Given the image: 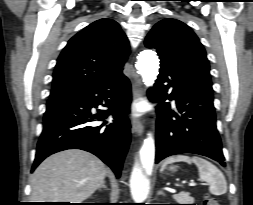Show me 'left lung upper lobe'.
I'll list each match as a JSON object with an SVG mask.
<instances>
[{
	"instance_id": "5c2ea615",
	"label": "left lung upper lobe",
	"mask_w": 253,
	"mask_h": 205,
	"mask_svg": "<svg viewBox=\"0 0 253 205\" xmlns=\"http://www.w3.org/2000/svg\"><path fill=\"white\" fill-rule=\"evenodd\" d=\"M145 45L155 48L160 59L174 63L213 91L206 52L186 24L171 18L161 20L147 35Z\"/></svg>"
}]
</instances>
